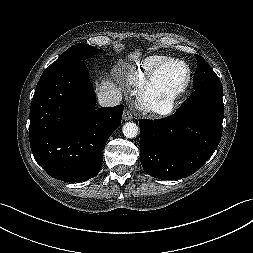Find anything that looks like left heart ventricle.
<instances>
[{
	"label": "left heart ventricle",
	"instance_id": "b2bd125f",
	"mask_svg": "<svg viewBox=\"0 0 253 253\" xmlns=\"http://www.w3.org/2000/svg\"><path fill=\"white\" fill-rule=\"evenodd\" d=\"M185 68L179 64H169L163 68L156 80L157 88H176L184 81Z\"/></svg>",
	"mask_w": 253,
	"mask_h": 253
}]
</instances>
